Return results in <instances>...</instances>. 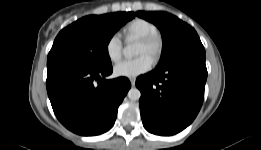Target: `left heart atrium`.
<instances>
[{
    "label": "left heart atrium",
    "instance_id": "1",
    "mask_svg": "<svg viewBox=\"0 0 261 150\" xmlns=\"http://www.w3.org/2000/svg\"><path fill=\"white\" fill-rule=\"evenodd\" d=\"M152 65V58L144 54L135 59L120 62L114 67V73L120 77L136 78L149 71Z\"/></svg>",
    "mask_w": 261,
    "mask_h": 150
}]
</instances>
